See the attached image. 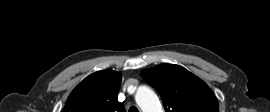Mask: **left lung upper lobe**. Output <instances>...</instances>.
<instances>
[{
    "label": "left lung upper lobe",
    "instance_id": "1",
    "mask_svg": "<svg viewBox=\"0 0 270 112\" xmlns=\"http://www.w3.org/2000/svg\"><path fill=\"white\" fill-rule=\"evenodd\" d=\"M142 76L158 90L166 112H219L207 84L179 65L162 64L143 71Z\"/></svg>",
    "mask_w": 270,
    "mask_h": 112
}]
</instances>
